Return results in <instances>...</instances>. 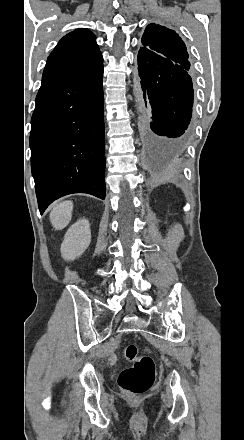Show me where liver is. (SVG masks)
I'll return each mask as SVG.
<instances>
[{"mask_svg": "<svg viewBox=\"0 0 244 440\" xmlns=\"http://www.w3.org/2000/svg\"><path fill=\"white\" fill-rule=\"evenodd\" d=\"M73 212L72 202H61L56 204L52 212H50V222L55 230H63L71 222Z\"/></svg>", "mask_w": 244, "mask_h": 440, "instance_id": "liver-1", "label": "liver"}]
</instances>
